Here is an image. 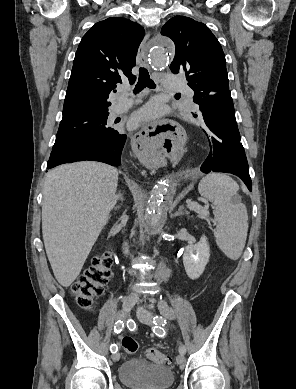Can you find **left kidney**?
<instances>
[{"label": "left kidney", "mask_w": 296, "mask_h": 389, "mask_svg": "<svg viewBox=\"0 0 296 389\" xmlns=\"http://www.w3.org/2000/svg\"><path fill=\"white\" fill-rule=\"evenodd\" d=\"M210 247L206 236H202L196 244L185 248L183 264L188 277L192 280L198 279L209 262Z\"/></svg>", "instance_id": "obj_1"}]
</instances>
